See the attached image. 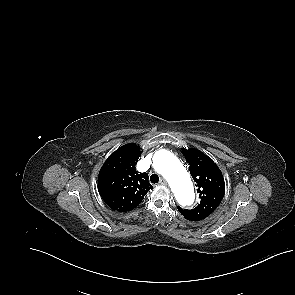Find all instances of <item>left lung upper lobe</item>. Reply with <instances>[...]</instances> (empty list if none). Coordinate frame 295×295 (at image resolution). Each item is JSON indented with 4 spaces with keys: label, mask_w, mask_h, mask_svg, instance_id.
Returning a JSON list of instances; mask_svg holds the SVG:
<instances>
[{
    "label": "left lung upper lobe",
    "mask_w": 295,
    "mask_h": 295,
    "mask_svg": "<svg viewBox=\"0 0 295 295\" xmlns=\"http://www.w3.org/2000/svg\"><path fill=\"white\" fill-rule=\"evenodd\" d=\"M186 157L190 173L196 182L197 193H199L200 202L190 210L178 207V210L205 219L220 204L225 193V183L222 172L214 161L197 149L182 148Z\"/></svg>",
    "instance_id": "5c2ea615"
}]
</instances>
